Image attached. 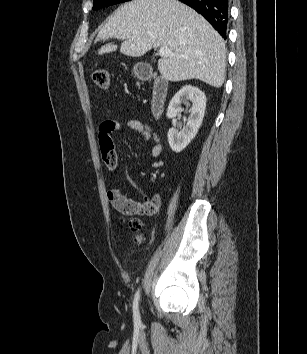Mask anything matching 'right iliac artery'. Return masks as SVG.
<instances>
[{"label":"right iliac artery","mask_w":307,"mask_h":354,"mask_svg":"<svg viewBox=\"0 0 307 354\" xmlns=\"http://www.w3.org/2000/svg\"><path fill=\"white\" fill-rule=\"evenodd\" d=\"M139 298H140V292L138 290L135 294V298H134V302H133V317H134V321L136 323L140 322V315H139V309H138Z\"/></svg>","instance_id":"right-iliac-artery-1"}]
</instances>
